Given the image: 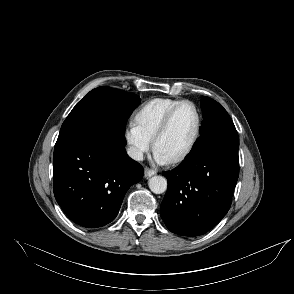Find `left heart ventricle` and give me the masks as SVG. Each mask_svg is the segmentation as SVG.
Here are the masks:
<instances>
[{"label":"left heart ventricle","mask_w":294,"mask_h":294,"mask_svg":"<svg viewBox=\"0 0 294 294\" xmlns=\"http://www.w3.org/2000/svg\"><path fill=\"white\" fill-rule=\"evenodd\" d=\"M197 117L192 106H182L174 115L167 132L156 145V150L169 160L179 155L189 144L196 128Z\"/></svg>","instance_id":"1"}]
</instances>
